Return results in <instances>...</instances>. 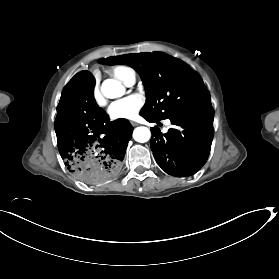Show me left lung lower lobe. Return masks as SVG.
Segmentation results:
<instances>
[{
  "instance_id": "0a47b994",
  "label": "left lung lower lobe",
  "mask_w": 279,
  "mask_h": 279,
  "mask_svg": "<svg viewBox=\"0 0 279 279\" xmlns=\"http://www.w3.org/2000/svg\"><path fill=\"white\" fill-rule=\"evenodd\" d=\"M155 122L149 116H143ZM212 106L192 113L170 118L178 126L162 134L158 127L152 128L151 150L158 165L167 174L187 177L199 171L208 159L213 139Z\"/></svg>"
}]
</instances>
